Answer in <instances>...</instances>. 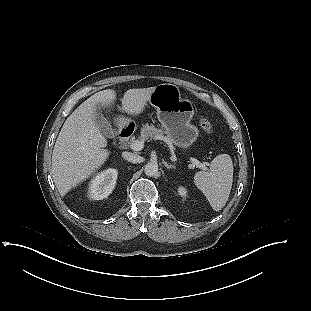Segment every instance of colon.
Listing matches in <instances>:
<instances>
[{
	"label": "colon",
	"mask_w": 311,
	"mask_h": 311,
	"mask_svg": "<svg viewBox=\"0 0 311 311\" xmlns=\"http://www.w3.org/2000/svg\"><path fill=\"white\" fill-rule=\"evenodd\" d=\"M199 126L201 127V129L205 132H211L212 130V125L211 123L207 120L202 118L199 122Z\"/></svg>",
	"instance_id": "5ec220e1"
}]
</instances>
